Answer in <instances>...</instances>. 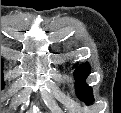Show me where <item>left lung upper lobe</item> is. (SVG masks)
<instances>
[{
	"label": "left lung upper lobe",
	"mask_w": 121,
	"mask_h": 113,
	"mask_svg": "<svg viewBox=\"0 0 121 113\" xmlns=\"http://www.w3.org/2000/svg\"><path fill=\"white\" fill-rule=\"evenodd\" d=\"M90 71L91 68L89 64L85 63L78 66L74 74L78 79L83 80L90 74ZM77 95L87 105L91 104L94 101L91 87L86 85L82 81L77 82Z\"/></svg>",
	"instance_id": "1"
}]
</instances>
